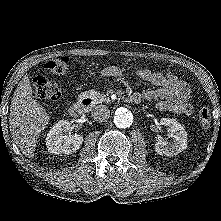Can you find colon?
<instances>
[{"mask_svg":"<svg viewBox=\"0 0 221 221\" xmlns=\"http://www.w3.org/2000/svg\"><path fill=\"white\" fill-rule=\"evenodd\" d=\"M69 65L67 57H59L46 60L44 68L56 75L66 73ZM35 94L38 98L44 100H57L62 95L60 86L44 75H38L33 80ZM198 121L202 130L206 131L211 126V113L207 107H201L198 110Z\"/></svg>","mask_w":221,"mask_h":221,"instance_id":"5ec220e1","label":"colon"}]
</instances>
